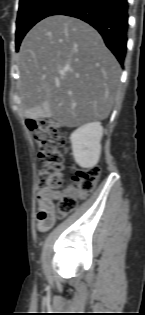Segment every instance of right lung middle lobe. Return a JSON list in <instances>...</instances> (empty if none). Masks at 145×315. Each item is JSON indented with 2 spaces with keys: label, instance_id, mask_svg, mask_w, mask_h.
<instances>
[{
  "label": "right lung middle lobe",
  "instance_id": "dd1d6c3e",
  "mask_svg": "<svg viewBox=\"0 0 145 315\" xmlns=\"http://www.w3.org/2000/svg\"><path fill=\"white\" fill-rule=\"evenodd\" d=\"M66 0H20L16 21V51L25 34L40 20L62 5Z\"/></svg>",
  "mask_w": 145,
  "mask_h": 315
}]
</instances>
